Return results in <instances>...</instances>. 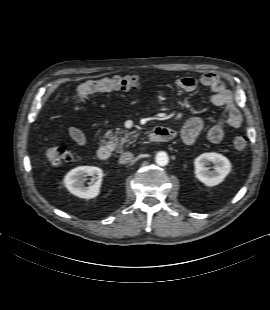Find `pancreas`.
<instances>
[{"label":"pancreas","mask_w":270,"mask_h":310,"mask_svg":"<svg viewBox=\"0 0 270 310\" xmlns=\"http://www.w3.org/2000/svg\"><path fill=\"white\" fill-rule=\"evenodd\" d=\"M134 132H129L127 130L118 129L115 134L108 132L104 135V138L108 139L107 144L112 150H116L121 152L123 150V146L132 144L137 137V135L131 136ZM105 142V141H103Z\"/></svg>","instance_id":"cf45deb5"}]
</instances>
